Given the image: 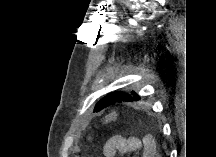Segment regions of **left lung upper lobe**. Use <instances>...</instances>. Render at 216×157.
Instances as JSON below:
<instances>
[{
  "label": "left lung upper lobe",
  "instance_id": "left-lung-upper-lobe-1",
  "mask_svg": "<svg viewBox=\"0 0 216 157\" xmlns=\"http://www.w3.org/2000/svg\"><path fill=\"white\" fill-rule=\"evenodd\" d=\"M140 100V96L134 91L131 94H125L119 91L112 92L102 98L94 108L95 112H98L108 106L121 102H133Z\"/></svg>",
  "mask_w": 216,
  "mask_h": 157
}]
</instances>
